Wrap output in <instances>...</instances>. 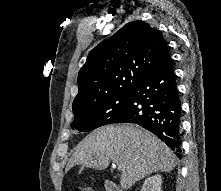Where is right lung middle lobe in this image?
Segmentation results:
<instances>
[{
  "mask_svg": "<svg viewBox=\"0 0 221 191\" xmlns=\"http://www.w3.org/2000/svg\"><path fill=\"white\" fill-rule=\"evenodd\" d=\"M132 96V91H127L75 112L71 128L88 132L103 125L116 123L128 110Z\"/></svg>",
  "mask_w": 221,
  "mask_h": 191,
  "instance_id": "dd1d6c3e",
  "label": "right lung middle lobe"
}]
</instances>
